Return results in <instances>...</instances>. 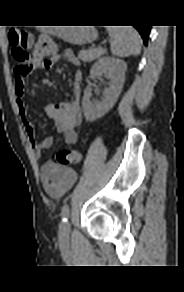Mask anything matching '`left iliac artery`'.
<instances>
[{
	"label": "left iliac artery",
	"instance_id": "obj_1",
	"mask_svg": "<svg viewBox=\"0 0 184 292\" xmlns=\"http://www.w3.org/2000/svg\"><path fill=\"white\" fill-rule=\"evenodd\" d=\"M61 215H62V221L64 223H66L68 221V217H69V207H68V205H64L62 207Z\"/></svg>",
	"mask_w": 184,
	"mask_h": 292
}]
</instances>
